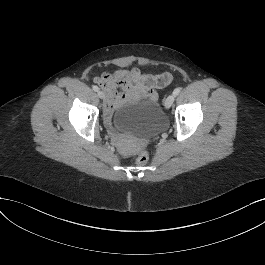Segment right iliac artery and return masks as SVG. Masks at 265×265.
<instances>
[{"mask_svg":"<svg viewBox=\"0 0 265 265\" xmlns=\"http://www.w3.org/2000/svg\"><path fill=\"white\" fill-rule=\"evenodd\" d=\"M93 90H94V91H98V90H99L98 86L94 85V86H93Z\"/></svg>","mask_w":265,"mask_h":265,"instance_id":"82829eb1","label":"right iliac artery"}]
</instances>
